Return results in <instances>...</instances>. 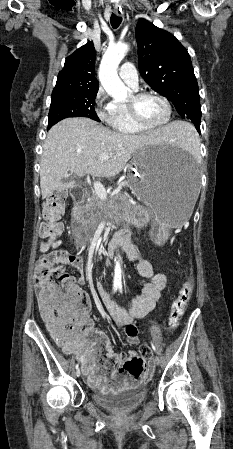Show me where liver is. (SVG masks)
Masks as SVG:
<instances>
[{"label": "liver", "instance_id": "6515ba94", "mask_svg": "<svg viewBox=\"0 0 233 449\" xmlns=\"http://www.w3.org/2000/svg\"><path fill=\"white\" fill-rule=\"evenodd\" d=\"M181 129L180 122H173L141 135H130L112 131L89 118L64 119L49 130L44 141L40 170L42 198L74 186L75 181H63L68 171L77 177L85 174L114 177L139 149L174 142ZM103 154L111 156L101 161L98 157Z\"/></svg>", "mask_w": 233, "mask_h": 449}]
</instances>
